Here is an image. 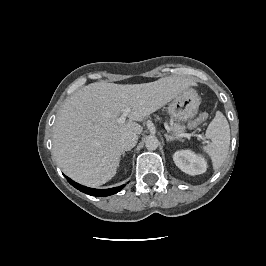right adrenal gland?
Here are the masks:
<instances>
[{
	"label": "right adrenal gland",
	"instance_id": "1",
	"mask_svg": "<svg viewBox=\"0 0 266 266\" xmlns=\"http://www.w3.org/2000/svg\"><path fill=\"white\" fill-rule=\"evenodd\" d=\"M126 151H130V149H127V150H123V151H122V157H123V158L125 157V152H126Z\"/></svg>",
	"mask_w": 266,
	"mask_h": 266
}]
</instances>
